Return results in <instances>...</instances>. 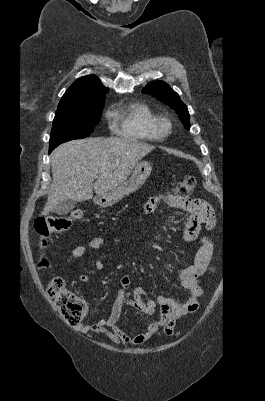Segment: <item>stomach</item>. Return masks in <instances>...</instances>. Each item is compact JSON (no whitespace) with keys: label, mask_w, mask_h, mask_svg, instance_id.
Segmentation results:
<instances>
[{"label":"stomach","mask_w":265,"mask_h":401,"mask_svg":"<svg viewBox=\"0 0 265 401\" xmlns=\"http://www.w3.org/2000/svg\"><path fill=\"white\" fill-rule=\"evenodd\" d=\"M151 170V162H148V160H140V162L135 164L134 170L131 172V176H129L128 180H124L122 184H119V186L107 192L105 196H98L95 203L100 205V207H110V205L118 203V201H121V198L128 196V194L140 188L145 180H147L148 176H150Z\"/></svg>","instance_id":"stomach-1"}]
</instances>
